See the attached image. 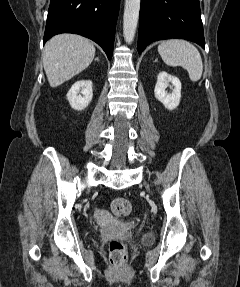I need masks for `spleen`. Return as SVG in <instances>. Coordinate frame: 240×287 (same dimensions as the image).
Wrapping results in <instances>:
<instances>
[{
	"instance_id": "3e777b00",
	"label": "spleen",
	"mask_w": 240,
	"mask_h": 287,
	"mask_svg": "<svg viewBox=\"0 0 240 287\" xmlns=\"http://www.w3.org/2000/svg\"><path fill=\"white\" fill-rule=\"evenodd\" d=\"M162 60L169 66H181L187 70L190 80L198 81L203 72V63L198 49L182 39L162 41L158 46Z\"/></svg>"
}]
</instances>
